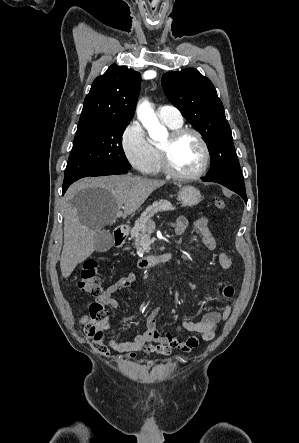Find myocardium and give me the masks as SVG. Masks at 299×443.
Instances as JSON below:
<instances>
[{
	"label": "myocardium",
	"instance_id": "f54148a6",
	"mask_svg": "<svg viewBox=\"0 0 299 443\" xmlns=\"http://www.w3.org/2000/svg\"><path fill=\"white\" fill-rule=\"evenodd\" d=\"M186 134L194 135L199 141L203 151V159L199 169L189 174L178 172L171 163L172 147L182 136ZM159 151H160V160L163 171L170 177L177 180H193L200 178L206 172L210 163V150L207 142L205 141L204 137L198 130L190 127H180L172 130L167 140L159 146Z\"/></svg>",
	"mask_w": 299,
	"mask_h": 443
}]
</instances>
